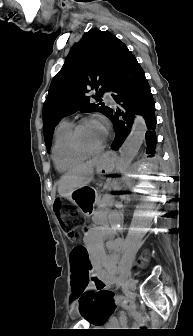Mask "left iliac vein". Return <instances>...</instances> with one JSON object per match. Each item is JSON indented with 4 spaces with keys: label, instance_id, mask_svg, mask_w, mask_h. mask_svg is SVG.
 <instances>
[{
    "label": "left iliac vein",
    "instance_id": "obj_1",
    "mask_svg": "<svg viewBox=\"0 0 193 336\" xmlns=\"http://www.w3.org/2000/svg\"><path fill=\"white\" fill-rule=\"evenodd\" d=\"M136 287V281L133 277L129 276L126 282V291H132Z\"/></svg>",
    "mask_w": 193,
    "mask_h": 336
}]
</instances>
